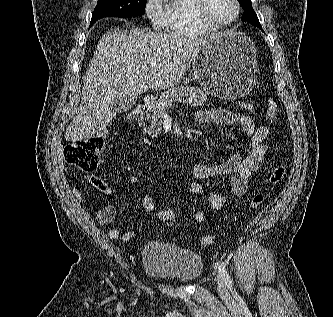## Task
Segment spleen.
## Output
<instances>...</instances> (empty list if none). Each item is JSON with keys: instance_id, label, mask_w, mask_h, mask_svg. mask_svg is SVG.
<instances>
[{"instance_id": "spleen-1", "label": "spleen", "mask_w": 333, "mask_h": 317, "mask_svg": "<svg viewBox=\"0 0 333 317\" xmlns=\"http://www.w3.org/2000/svg\"><path fill=\"white\" fill-rule=\"evenodd\" d=\"M268 102H269V107L267 110V116L274 117L277 111V105L271 98L268 99Z\"/></svg>"}]
</instances>
